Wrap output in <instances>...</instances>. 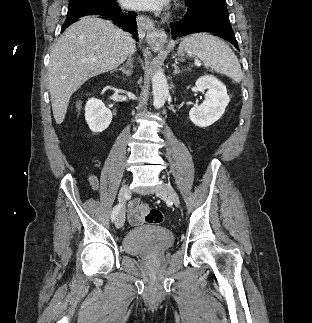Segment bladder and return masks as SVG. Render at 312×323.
Here are the masks:
<instances>
[{
  "label": "bladder",
  "mask_w": 312,
  "mask_h": 323,
  "mask_svg": "<svg viewBox=\"0 0 312 323\" xmlns=\"http://www.w3.org/2000/svg\"><path fill=\"white\" fill-rule=\"evenodd\" d=\"M173 244V237L168 230L141 227L125 235L124 250L139 256L146 252L165 251Z\"/></svg>",
  "instance_id": "31cf9c89"
}]
</instances>
